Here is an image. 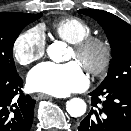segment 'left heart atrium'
<instances>
[{
  "instance_id": "obj_1",
  "label": "left heart atrium",
  "mask_w": 131,
  "mask_h": 131,
  "mask_svg": "<svg viewBox=\"0 0 131 131\" xmlns=\"http://www.w3.org/2000/svg\"><path fill=\"white\" fill-rule=\"evenodd\" d=\"M27 85L32 91L65 96L84 90L88 85V79L76 61L66 64L45 62L29 72Z\"/></svg>"
}]
</instances>
